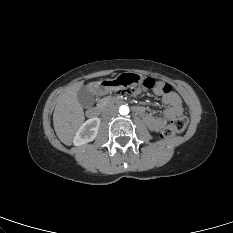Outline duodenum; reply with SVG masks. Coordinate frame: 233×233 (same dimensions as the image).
Returning a JSON list of instances; mask_svg holds the SVG:
<instances>
[{
  "instance_id": "1",
  "label": "duodenum",
  "mask_w": 233,
  "mask_h": 233,
  "mask_svg": "<svg viewBox=\"0 0 233 233\" xmlns=\"http://www.w3.org/2000/svg\"><path fill=\"white\" fill-rule=\"evenodd\" d=\"M124 103V100L121 98H114L107 102L106 105L116 104L121 105ZM103 110L102 106H94L87 111V115L89 118H98Z\"/></svg>"
}]
</instances>
